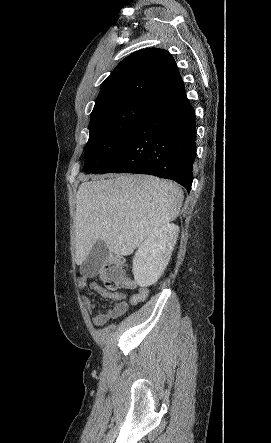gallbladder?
Returning a JSON list of instances; mask_svg holds the SVG:
<instances>
[{
    "instance_id": "bac80fb5",
    "label": "gallbladder",
    "mask_w": 271,
    "mask_h": 443,
    "mask_svg": "<svg viewBox=\"0 0 271 443\" xmlns=\"http://www.w3.org/2000/svg\"><path fill=\"white\" fill-rule=\"evenodd\" d=\"M108 247L102 239L94 243L87 259L80 265V273L85 278H94L96 273H102V261L107 259Z\"/></svg>"
}]
</instances>
